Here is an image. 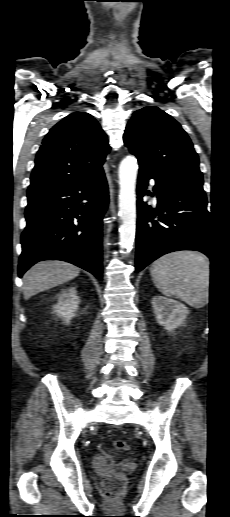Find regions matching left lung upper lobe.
<instances>
[{
	"mask_svg": "<svg viewBox=\"0 0 230 517\" xmlns=\"http://www.w3.org/2000/svg\"><path fill=\"white\" fill-rule=\"evenodd\" d=\"M123 138L140 169L179 183L203 185L198 155L190 138L176 120L159 108L147 106L136 111Z\"/></svg>",
	"mask_w": 230,
	"mask_h": 517,
	"instance_id": "1",
	"label": "left lung upper lobe"
}]
</instances>
